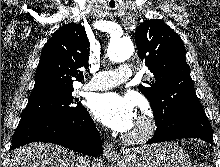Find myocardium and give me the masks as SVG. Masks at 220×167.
Instances as JSON below:
<instances>
[{
	"instance_id": "obj_1",
	"label": "myocardium",
	"mask_w": 220,
	"mask_h": 167,
	"mask_svg": "<svg viewBox=\"0 0 220 167\" xmlns=\"http://www.w3.org/2000/svg\"><path fill=\"white\" fill-rule=\"evenodd\" d=\"M140 127L138 130L128 133L124 140L130 144H140L153 137L158 128L156 117L152 111L142 112L138 116Z\"/></svg>"
}]
</instances>
